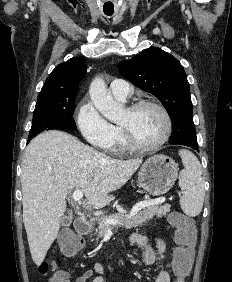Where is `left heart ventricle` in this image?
Wrapping results in <instances>:
<instances>
[{"label": "left heart ventricle", "mask_w": 232, "mask_h": 282, "mask_svg": "<svg viewBox=\"0 0 232 282\" xmlns=\"http://www.w3.org/2000/svg\"><path fill=\"white\" fill-rule=\"evenodd\" d=\"M120 124L126 126L135 141L143 145L157 142L165 132L162 114L151 106H144L133 112L126 110Z\"/></svg>", "instance_id": "left-heart-ventricle-1"}]
</instances>
